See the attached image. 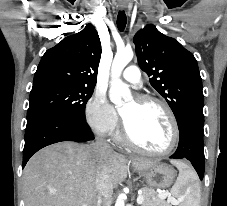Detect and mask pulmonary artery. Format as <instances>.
Returning a JSON list of instances; mask_svg holds the SVG:
<instances>
[{"instance_id": "e3ab8cb5", "label": "pulmonary artery", "mask_w": 227, "mask_h": 206, "mask_svg": "<svg viewBox=\"0 0 227 206\" xmlns=\"http://www.w3.org/2000/svg\"><path fill=\"white\" fill-rule=\"evenodd\" d=\"M122 78L136 86H141V73L137 66H128L122 73Z\"/></svg>"}]
</instances>
